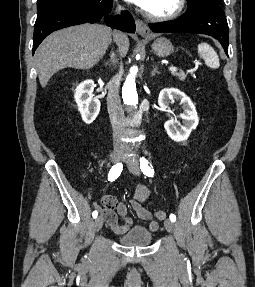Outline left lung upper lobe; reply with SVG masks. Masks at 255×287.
<instances>
[{
    "mask_svg": "<svg viewBox=\"0 0 255 287\" xmlns=\"http://www.w3.org/2000/svg\"><path fill=\"white\" fill-rule=\"evenodd\" d=\"M198 1H202V0H187V3H188V5H190V4L198 2ZM205 1H210L213 3L219 4V5L221 4V0H205Z\"/></svg>",
    "mask_w": 255,
    "mask_h": 287,
    "instance_id": "left-lung-upper-lobe-1",
    "label": "left lung upper lobe"
}]
</instances>
